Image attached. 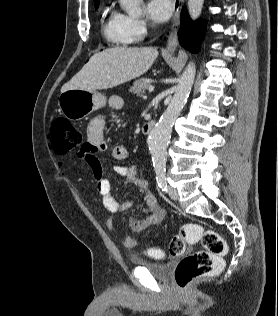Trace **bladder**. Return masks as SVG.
I'll return each instance as SVG.
<instances>
[{
	"mask_svg": "<svg viewBox=\"0 0 278 316\" xmlns=\"http://www.w3.org/2000/svg\"><path fill=\"white\" fill-rule=\"evenodd\" d=\"M132 262L134 265L146 269L153 276L160 279L168 278L173 269V264L170 262L159 263V262H153V261H148V260L139 259V258H133Z\"/></svg>",
	"mask_w": 278,
	"mask_h": 316,
	"instance_id": "bladder-1",
	"label": "bladder"
}]
</instances>
